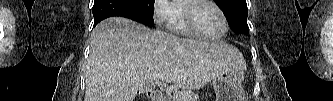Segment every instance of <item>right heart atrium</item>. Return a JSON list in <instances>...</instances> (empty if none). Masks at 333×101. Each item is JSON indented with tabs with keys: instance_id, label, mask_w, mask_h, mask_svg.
Wrapping results in <instances>:
<instances>
[{
	"instance_id": "d8ad5b80",
	"label": "right heart atrium",
	"mask_w": 333,
	"mask_h": 101,
	"mask_svg": "<svg viewBox=\"0 0 333 101\" xmlns=\"http://www.w3.org/2000/svg\"><path fill=\"white\" fill-rule=\"evenodd\" d=\"M152 13L154 21L158 26L168 27L171 25L175 8L169 0H155Z\"/></svg>"
}]
</instances>
